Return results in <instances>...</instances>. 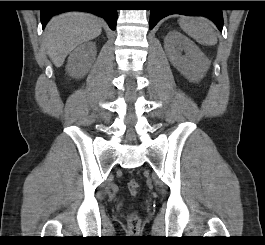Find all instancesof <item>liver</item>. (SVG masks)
Returning <instances> with one entry per match:
<instances>
[{"label":"liver","mask_w":265,"mask_h":245,"mask_svg":"<svg viewBox=\"0 0 265 245\" xmlns=\"http://www.w3.org/2000/svg\"><path fill=\"white\" fill-rule=\"evenodd\" d=\"M102 20L84 12H68L53 17L46 27L45 47L56 67L77 46L95 39L102 32Z\"/></svg>","instance_id":"6515ba94"}]
</instances>
